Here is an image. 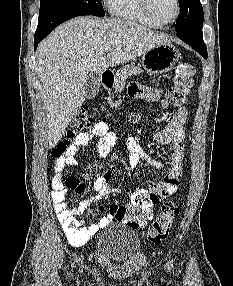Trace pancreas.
I'll list each match as a JSON object with an SVG mask.
<instances>
[{
    "label": "pancreas",
    "instance_id": "obj_1",
    "mask_svg": "<svg viewBox=\"0 0 233 286\" xmlns=\"http://www.w3.org/2000/svg\"><path fill=\"white\" fill-rule=\"evenodd\" d=\"M142 73L139 67L134 65H125L116 72V79L114 83V88L116 91H121L125 85V81L129 76L137 75Z\"/></svg>",
    "mask_w": 233,
    "mask_h": 286
}]
</instances>
